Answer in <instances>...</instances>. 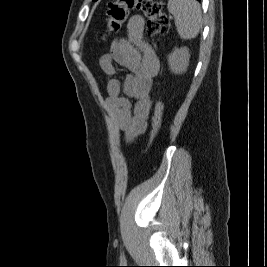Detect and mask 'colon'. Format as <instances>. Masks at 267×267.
Segmentation results:
<instances>
[{
    "label": "colon",
    "mask_w": 267,
    "mask_h": 267,
    "mask_svg": "<svg viewBox=\"0 0 267 267\" xmlns=\"http://www.w3.org/2000/svg\"><path fill=\"white\" fill-rule=\"evenodd\" d=\"M133 10L142 12L146 17L149 35H164L168 32L170 21L163 12L160 2L155 0H114L108 4L106 33L108 35L118 33ZM162 117L163 104L160 100H157L152 116V129L144 153L149 151L158 135L162 125Z\"/></svg>",
    "instance_id": "obj_1"
}]
</instances>
